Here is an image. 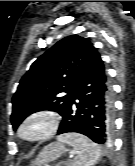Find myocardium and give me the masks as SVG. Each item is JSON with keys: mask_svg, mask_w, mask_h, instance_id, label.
<instances>
[{"mask_svg": "<svg viewBox=\"0 0 135 166\" xmlns=\"http://www.w3.org/2000/svg\"><path fill=\"white\" fill-rule=\"evenodd\" d=\"M42 122L43 128L37 133H29V127L35 122ZM60 117L58 113L48 109H40L29 113L18 125L17 137L27 143L47 140L58 130Z\"/></svg>", "mask_w": 135, "mask_h": 166, "instance_id": "f54148a6", "label": "myocardium"}]
</instances>
